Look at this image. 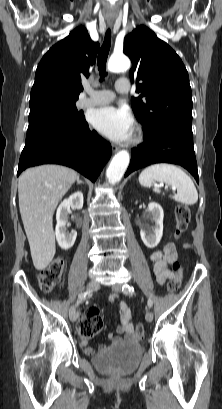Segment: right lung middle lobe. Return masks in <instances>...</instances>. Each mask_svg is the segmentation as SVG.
I'll list each match as a JSON object with an SVG mask.
<instances>
[{
  "label": "right lung middle lobe",
  "instance_id": "right-lung-middle-lobe-1",
  "mask_svg": "<svg viewBox=\"0 0 222 409\" xmlns=\"http://www.w3.org/2000/svg\"><path fill=\"white\" fill-rule=\"evenodd\" d=\"M85 122L82 111L73 102H50L30 108L28 133L49 127L56 130L69 129Z\"/></svg>",
  "mask_w": 222,
  "mask_h": 409
}]
</instances>
